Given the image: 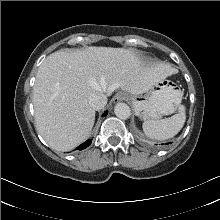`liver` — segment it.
<instances>
[{
  "mask_svg": "<svg viewBox=\"0 0 220 220\" xmlns=\"http://www.w3.org/2000/svg\"><path fill=\"white\" fill-rule=\"evenodd\" d=\"M167 64H146L131 49L88 47L56 51L40 65L33 88L36 128L50 147L69 151L91 134L89 97L118 88L141 94L172 75Z\"/></svg>",
  "mask_w": 220,
  "mask_h": 220,
  "instance_id": "liver-1",
  "label": "liver"
}]
</instances>
